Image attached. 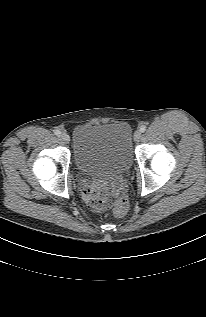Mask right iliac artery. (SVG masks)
I'll return each instance as SVG.
<instances>
[{
  "label": "right iliac artery",
  "instance_id": "obj_1",
  "mask_svg": "<svg viewBox=\"0 0 206 317\" xmlns=\"http://www.w3.org/2000/svg\"><path fill=\"white\" fill-rule=\"evenodd\" d=\"M54 133H55V135L59 136L61 134V131L57 129V130L54 131Z\"/></svg>",
  "mask_w": 206,
  "mask_h": 317
}]
</instances>
